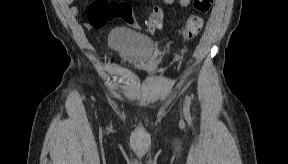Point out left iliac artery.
<instances>
[{"label":"left iliac artery","mask_w":288,"mask_h":164,"mask_svg":"<svg viewBox=\"0 0 288 164\" xmlns=\"http://www.w3.org/2000/svg\"><path fill=\"white\" fill-rule=\"evenodd\" d=\"M190 104H191V98H190V96L187 95L186 98H185V106H186V108H189Z\"/></svg>","instance_id":"obj_1"}]
</instances>
